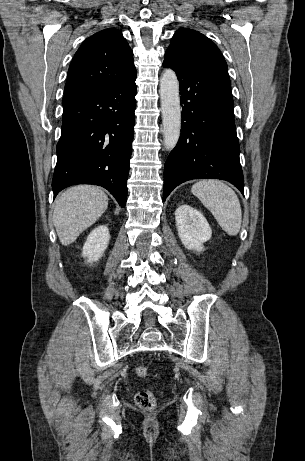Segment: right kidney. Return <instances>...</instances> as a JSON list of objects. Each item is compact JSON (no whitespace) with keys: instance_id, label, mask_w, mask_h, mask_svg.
Segmentation results:
<instances>
[{"instance_id":"obj_1","label":"right kidney","mask_w":305,"mask_h":461,"mask_svg":"<svg viewBox=\"0 0 305 461\" xmlns=\"http://www.w3.org/2000/svg\"><path fill=\"white\" fill-rule=\"evenodd\" d=\"M110 239L107 226H98L87 237L83 246L82 256L88 258V262L97 261L106 250Z\"/></svg>"}]
</instances>
